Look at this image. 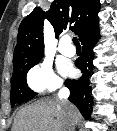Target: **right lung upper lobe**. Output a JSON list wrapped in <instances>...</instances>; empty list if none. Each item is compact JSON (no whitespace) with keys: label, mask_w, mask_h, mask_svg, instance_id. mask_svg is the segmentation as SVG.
I'll use <instances>...</instances> for the list:
<instances>
[{"label":"right lung upper lobe","mask_w":117,"mask_h":131,"mask_svg":"<svg viewBox=\"0 0 117 131\" xmlns=\"http://www.w3.org/2000/svg\"><path fill=\"white\" fill-rule=\"evenodd\" d=\"M99 10V0H54L47 12L36 7L19 26L13 69L39 61L43 56L45 18L54 27L56 38L69 29L78 35L81 41L98 31Z\"/></svg>","instance_id":"obj_1"}]
</instances>
